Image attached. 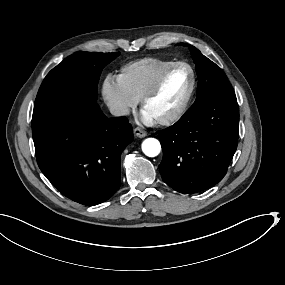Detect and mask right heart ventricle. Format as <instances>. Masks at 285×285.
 Returning <instances> with one entry per match:
<instances>
[{"mask_svg":"<svg viewBox=\"0 0 285 285\" xmlns=\"http://www.w3.org/2000/svg\"><path fill=\"white\" fill-rule=\"evenodd\" d=\"M169 68L171 63L157 58L138 60L132 65V77L126 89L139 99Z\"/></svg>","mask_w":285,"mask_h":285,"instance_id":"1","label":"right heart ventricle"}]
</instances>
